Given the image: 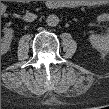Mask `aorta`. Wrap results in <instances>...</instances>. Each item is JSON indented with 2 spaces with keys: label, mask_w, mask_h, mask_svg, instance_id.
<instances>
[{
  "label": "aorta",
  "mask_w": 109,
  "mask_h": 109,
  "mask_svg": "<svg viewBox=\"0 0 109 109\" xmlns=\"http://www.w3.org/2000/svg\"><path fill=\"white\" fill-rule=\"evenodd\" d=\"M46 23L48 26L55 27L59 23V18H58V16H56L54 14L49 15L46 19Z\"/></svg>",
  "instance_id": "aorta-1"
}]
</instances>
